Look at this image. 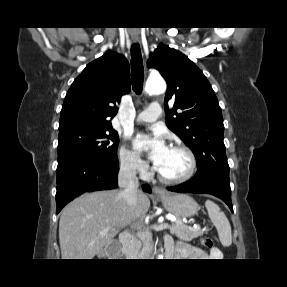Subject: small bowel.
<instances>
[{"mask_svg":"<svg viewBox=\"0 0 287 287\" xmlns=\"http://www.w3.org/2000/svg\"><path fill=\"white\" fill-rule=\"evenodd\" d=\"M165 245L172 257L176 259L197 260L205 259L209 256L218 257L220 255V251L218 249H214L210 253H207L198 247L184 242H178L174 245L170 237L165 238Z\"/></svg>","mask_w":287,"mask_h":287,"instance_id":"obj_1","label":"small bowel"}]
</instances>
